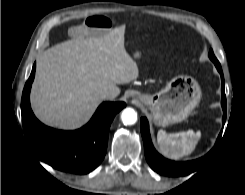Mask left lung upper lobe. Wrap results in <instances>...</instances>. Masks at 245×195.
<instances>
[{"label": "left lung upper lobe", "mask_w": 245, "mask_h": 195, "mask_svg": "<svg viewBox=\"0 0 245 195\" xmlns=\"http://www.w3.org/2000/svg\"><path fill=\"white\" fill-rule=\"evenodd\" d=\"M209 58L213 61V63L215 65H220L219 61L217 60V58L215 57L214 53L212 50H210L209 52Z\"/></svg>", "instance_id": "obj_1"}]
</instances>
